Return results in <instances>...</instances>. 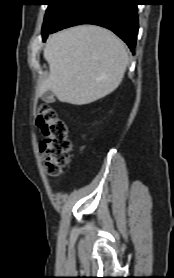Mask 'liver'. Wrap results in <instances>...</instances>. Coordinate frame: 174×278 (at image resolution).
Returning <instances> with one entry per match:
<instances>
[{"label":"liver","instance_id":"obj_1","mask_svg":"<svg viewBox=\"0 0 174 278\" xmlns=\"http://www.w3.org/2000/svg\"><path fill=\"white\" fill-rule=\"evenodd\" d=\"M43 56L50 74L39 84L37 94L51 90L59 101L74 105L90 104L112 93L129 62L123 41L95 25L53 34Z\"/></svg>","mask_w":174,"mask_h":278}]
</instances>
